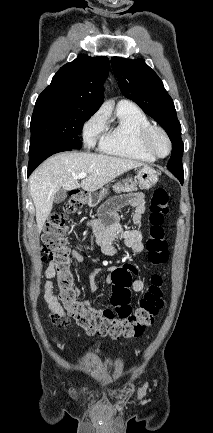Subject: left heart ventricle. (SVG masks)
<instances>
[{
    "mask_svg": "<svg viewBox=\"0 0 213 433\" xmlns=\"http://www.w3.org/2000/svg\"><path fill=\"white\" fill-rule=\"evenodd\" d=\"M152 143L154 148L157 150L158 153L164 155L168 151V143L166 139L163 137L160 133H155L152 138Z\"/></svg>",
    "mask_w": 213,
    "mask_h": 433,
    "instance_id": "b2bd125f",
    "label": "left heart ventricle"
}]
</instances>
